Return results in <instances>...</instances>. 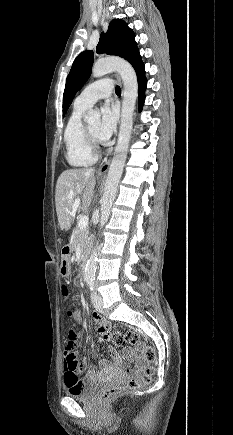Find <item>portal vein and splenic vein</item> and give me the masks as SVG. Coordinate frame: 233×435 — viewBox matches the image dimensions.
<instances>
[{
    "label": "portal vein and splenic vein",
    "mask_w": 233,
    "mask_h": 435,
    "mask_svg": "<svg viewBox=\"0 0 233 435\" xmlns=\"http://www.w3.org/2000/svg\"><path fill=\"white\" fill-rule=\"evenodd\" d=\"M80 204V199L76 198L74 202V206L78 207ZM89 218L88 216H82L81 219L78 222V227L83 230L88 226Z\"/></svg>",
    "instance_id": "obj_1"
}]
</instances>
